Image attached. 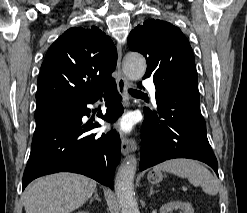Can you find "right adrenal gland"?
Segmentation results:
<instances>
[{
    "label": "right adrenal gland",
    "mask_w": 247,
    "mask_h": 213,
    "mask_svg": "<svg viewBox=\"0 0 247 213\" xmlns=\"http://www.w3.org/2000/svg\"><path fill=\"white\" fill-rule=\"evenodd\" d=\"M94 199H96V200H98L99 202H101V199H100V197H99V195H98L97 189H96L95 192H94V197H92V198L90 199V203L93 202Z\"/></svg>",
    "instance_id": "1"
}]
</instances>
